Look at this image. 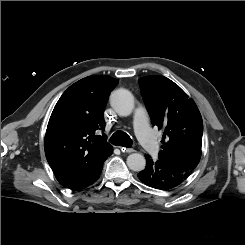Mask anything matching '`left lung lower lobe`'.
<instances>
[{
    "label": "left lung lower lobe",
    "instance_id": "left-lung-lower-lobe-1",
    "mask_svg": "<svg viewBox=\"0 0 245 245\" xmlns=\"http://www.w3.org/2000/svg\"><path fill=\"white\" fill-rule=\"evenodd\" d=\"M146 167L138 173V178L149 187L159 190H170L183 183L189 172L161 159L153 160L145 155Z\"/></svg>",
    "mask_w": 245,
    "mask_h": 245
}]
</instances>
